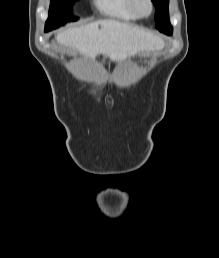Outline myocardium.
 Wrapping results in <instances>:
<instances>
[{
	"mask_svg": "<svg viewBox=\"0 0 219 258\" xmlns=\"http://www.w3.org/2000/svg\"><path fill=\"white\" fill-rule=\"evenodd\" d=\"M142 0H131V6L134 10V12L139 16V17H149L150 15H152L153 11H154V3L152 0H143L147 6H148V11L144 12L141 10L140 8V2Z\"/></svg>",
	"mask_w": 219,
	"mask_h": 258,
	"instance_id": "f54148a6",
	"label": "myocardium"
}]
</instances>
